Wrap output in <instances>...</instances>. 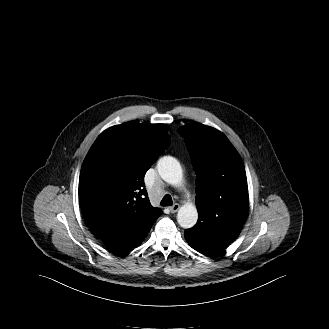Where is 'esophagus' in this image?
Masks as SVG:
<instances>
[{"label":"esophagus","instance_id":"obj_1","mask_svg":"<svg viewBox=\"0 0 329 329\" xmlns=\"http://www.w3.org/2000/svg\"><path fill=\"white\" fill-rule=\"evenodd\" d=\"M180 208V205L178 203H175L173 206L169 207V210L171 213H176Z\"/></svg>","mask_w":329,"mask_h":329}]
</instances>
